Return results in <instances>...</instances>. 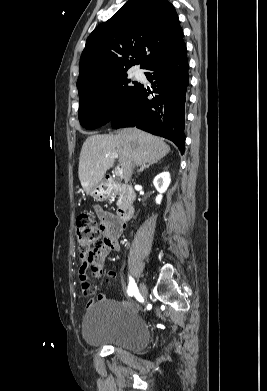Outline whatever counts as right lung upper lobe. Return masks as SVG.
Instances as JSON below:
<instances>
[{"label":"right lung upper lobe","instance_id":"obj_1","mask_svg":"<svg viewBox=\"0 0 267 391\" xmlns=\"http://www.w3.org/2000/svg\"><path fill=\"white\" fill-rule=\"evenodd\" d=\"M183 31L167 0H129L90 34L80 59L79 94L97 81L179 48Z\"/></svg>","mask_w":267,"mask_h":391}]
</instances>
